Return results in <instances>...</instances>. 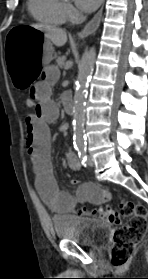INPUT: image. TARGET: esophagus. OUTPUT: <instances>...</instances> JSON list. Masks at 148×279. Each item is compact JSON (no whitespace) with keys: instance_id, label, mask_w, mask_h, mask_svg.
Instances as JSON below:
<instances>
[{"instance_id":"esophagus-1","label":"esophagus","mask_w":148,"mask_h":279,"mask_svg":"<svg viewBox=\"0 0 148 279\" xmlns=\"http://www.w3.org/2000/svg\"><path fill=\"white\" fill-rule=\"evenodd\" d=\"M103 7H104V5L101 6V8L94 15V17L78 33L79 38H85V37L91 35L92 33H94L97 30V28L99 27L100 22H101Z\"/></svg>"}]
</instances>
